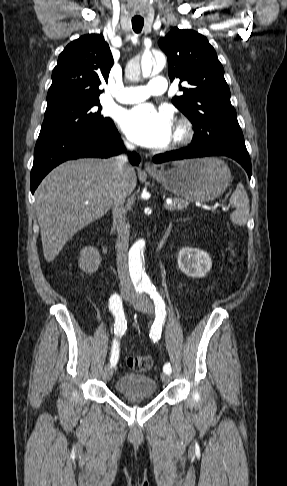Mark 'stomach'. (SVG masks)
Returning a JSON list of instances; mask_svg holds the SVG:
<instances>
[{"mask_svg":"<svg viewBox=\"0 0 287 486\" xmlns=\"http://www.w3.org/2000/svg\"><path fill=\"white\" fill-rule=\"evenodd\" d=\"M149 175L179 198L195 202L218 198L231 180L227 164L214 157L184 160L174 168L149 172Z\"/></svg>","mask_w":287,"mask_h":486,"instance_id":"0dacf381","label":"stomach"}]
</instances>
